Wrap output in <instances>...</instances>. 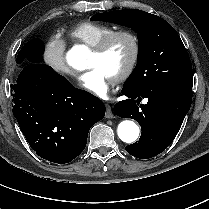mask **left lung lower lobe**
<instances>
[{"instance_id": "1", "label": "left lung lower lobe", "mask_w": 209, "mask_h": 209, "mask_svg": "<svg viewBox=\"0 0 209 209\" xmlns=\"http://www.w3.org/2000/svg\"><path fill=\"white\" fill-rule=\"evenodd\" d=\"M193 78L186 77L156 83L140 89L123 87L128 99L114 106V113L136 120L142 128L139 141L125 147L140 159L152 158L163 152L176 137L192 102ZM142 98L146 104L139 105Z\"/></svg>"}]
</instances>
